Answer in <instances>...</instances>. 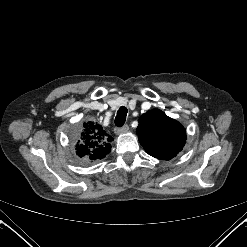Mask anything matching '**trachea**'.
<instances>
[{"instance_id": "3493384b", "label": "trachea", "mask_w": 247, "mask_h": 247, "mask_svg": "<svg viewBox=\"0 0 247 247\" xmlns=\"http://www.w3.org/2000/svg\"><path fill=\"white\" fill-rule=\"evenodd\" d=\"M126 116H127V108L121 106L117 111V116L115 118V125L117 127H122L126 121Z\"/></svg>"}]
</instances>
